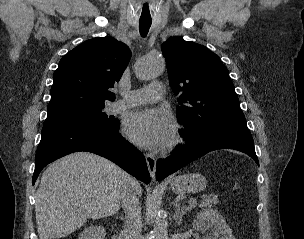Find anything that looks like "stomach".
Instances as JSON below:
<instances>
[{
	"label": "stomach",
	"mask_w": 304,
	"mask_h": 239,
	"mask_svg": "<svg viewBox=\"0 0 304 239\" xmlns=\"http://www.w3.org/2000/svg\"><path fill=\"white\" fill-rule=\"evenodd\" d=\"M170 185L172 191L176 194L196 193L206 188L207 180L201 174L190 173L174 177Z\"/></svg>",
	"instance_id": "0dacf381"
}]
</instances>
